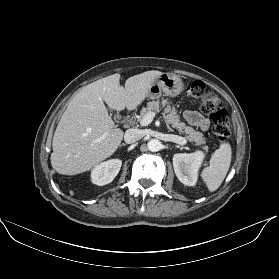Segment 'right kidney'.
<instances>
[{"label": "right kidney", "instance_id": "obj_1", "mask_svg": "<svg viewBox=\"0 0 279 279\" xmlns=\"http://www.w3.org/2000/svg\"><path fill=\"white\" fill-rule=\"evenodd\" d=\"M121 165L120 159H110L96 165L91 171L92 183L98 186L111 183L119 173Z\"/></svg>", "mask_w": 279, "mask_h": 279}]
</instances>
